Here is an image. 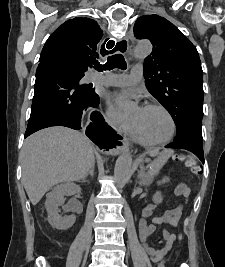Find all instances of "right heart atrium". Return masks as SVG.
<instances>
[{
    "mask_svg": "<svg viewBox=\"0 0 225 267\" xmlns=\"http://www.w3.org/2000/svg\"><path fill=\"white\" fill-rule=\"evenodd\" d=\"M107 123L120 132H130L132 125L129 122L123 121L119 116L110 108L107 109L105 114Z\"/></svg>",
    "mask_w": 225,
    "mask_h": 267,
    "instance_id": "1",
    "label": "right heart atrium"
}]
</instances>
